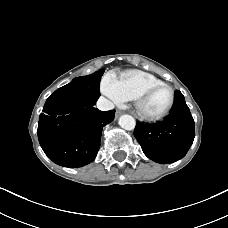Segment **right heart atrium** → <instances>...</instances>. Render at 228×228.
Returning a JSON list of instances; mask_svg holds the SVG:
<instances>
[{"label": "right heart atrium", "mask_w": 228, "mask_h": 228, "mask_svg": "<svg viewBox=\"0 0 228 228\" xmlns=\"http://www.w3.org/2000/svg\"><path fill=\"white\" fill-rule=\"evenodd\" d=\"M101 87L103 93L114 102L121 103L125 101V99L118 92L116 78L112 74L104 76Z\"/></svg>", "instance_id": "d8ad5b80"}]
</instances>
